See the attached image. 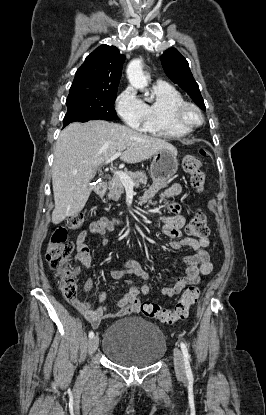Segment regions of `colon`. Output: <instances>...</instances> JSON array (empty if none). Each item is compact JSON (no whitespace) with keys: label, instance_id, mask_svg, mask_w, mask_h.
I'll return each mask as SVG.
<instances>
[{"label":"colon","instance_id":"colon-1","mask_svg":"<svg viewBox=\"0 0 266 415\" xmlns=\"http://www.w3.org/2000/svg\"><path fill=\"white\" fill-rule=\"evenodd\" d=\"M205 151L200 149L196 154H189L183 159V169L190 176L191 186L199 192L205 188V173L201 169V158ZM84 222V214L77 213L70 216L65 226L58 227L52 234L46 250V260L54 271L61 277V291L69 302L75 301L78 296L77 275L79 269L70 265L73 252V243L68 240V229H79ZM186 232L199 239L207 238L209 227L205 215L196 213L189 221ZM200 295L198 286H191L184 291L181 298L172 309H167L153 302L141 305L142 314L149 318L158 319L164 324H173L188 317L190 308L196 303Z\"/></svg>","mask_w":266,"mask_h":415}]
</instances>
